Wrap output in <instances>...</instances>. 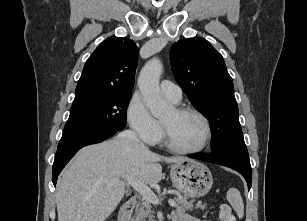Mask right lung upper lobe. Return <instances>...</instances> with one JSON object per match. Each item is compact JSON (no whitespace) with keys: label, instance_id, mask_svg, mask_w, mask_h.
Masks as SVG:
<instances>
[{"label":"right lung upper lobe","instance_id":"obj_1","mask_svg":"<svg viewBox=\"0 0 307 221\" xmlns=\"http://www.w3.org/2000/svg\"><path fill=\"white\" fill-rule=\"evenodd\" d=\"M137 62L134 41L107 38L86 61L73 102L111 93H132Z\"/></svg>","mask_w":307,"mask_h":221}]
</instances>
